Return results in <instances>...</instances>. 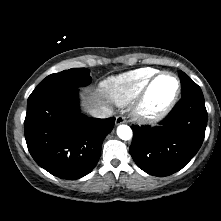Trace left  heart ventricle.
Wrapping results in <instances>:
<instances>
[{
  "label": "left heart ventricle",
  "instance_id": "obj_1",
  "mask_svg": "<svg viewBox=\"0 0 221 221\" xmlns=\"http://www.w3.org/2000/svg\"><path fill=\"white\" fill-rule=\"evenodd\" d=\"M176 90V82L170 76L160 77L153 85L148 105L151 109H159L164 106L173 96Z\"/></svg>",
  "mask_w": 221,
  "mask_h": 221
}]
</instances>
